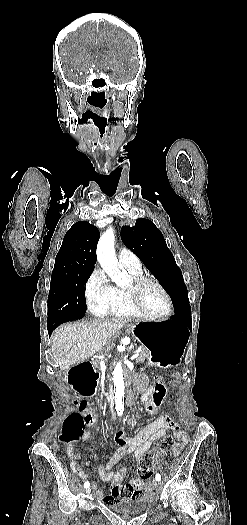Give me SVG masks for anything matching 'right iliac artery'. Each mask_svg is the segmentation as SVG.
<instances>
[{"mask_svg":"<svg viewBox=\"0 0 247 525\" xmlns=\"http://www.w3.org/2000/svg\"><path fill=\"white\" fill-rule=\"evenodd\" d=\"M89 485H90V483H89L88 481H86V482L84 483V487H85V488H88Z\"/></svg>","mask_w":247,"mask_h":525,"instance_id":"obj_1","label":"right iliac artery"}]
</instances>
